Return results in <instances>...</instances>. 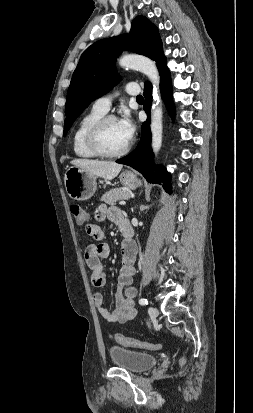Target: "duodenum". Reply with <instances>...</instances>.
Wrapping results in <instances>:
<instances>
[{
  "mask_svg": "<svg viewBox=\"0 0 253 413\" xmlns=\"http://www.w3.org/2000/svg\"><path fill=\"white\" fill-rule=\"evenodd\" d=\"M121 231H122V235H123L125 241L130 242L132 240V234L133 233H132V229H131V227H130V225L127 221H125L122 224Z\"/></svg>",
  "mask_w": 253,
  "mask_h": 413,
  "instance_id": "410a0bca",
  "label": "duodenum"
}]
</instances>
